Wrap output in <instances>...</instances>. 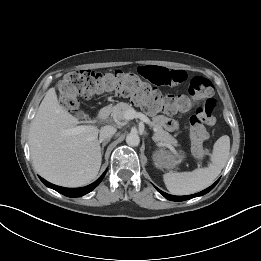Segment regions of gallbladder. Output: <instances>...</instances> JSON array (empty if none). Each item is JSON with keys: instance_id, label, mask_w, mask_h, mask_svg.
<instances>
[{"instance_id": "obj_1", "label": "gallbladder", "mask_w": 261, "mask_h": 261, "mask_svg": "<svg viewBox=\"0 0 261 261\" xmlns=\"http://www.w3.org/2000/svg\"><path fill=\"white\" fill-rule=\"evenodd\" d=\"M84 116H85V115H84L83 112L77 113V117H78V118H85Z\"/></svg>"}]
</instances>
